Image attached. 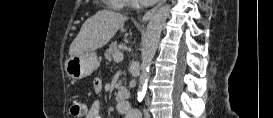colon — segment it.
<instances>
[{"instance_id": "colon-1", "label": "colon", "mask_w": 273, "mask_h": 118, "mask_svg": "<svg viewBox=\"0 0 273 118\" xmlns=\"http://www.w3.org/2000/svg\"><path fill=\"white\" fill-rule=\"evenodd\" d=\"M86 105L78 98L72 100L70 105V113L74 117H83L86 114Z\"/></svg>"}]
</instances>
